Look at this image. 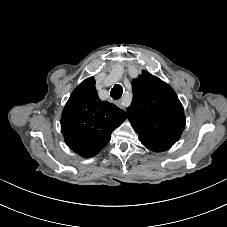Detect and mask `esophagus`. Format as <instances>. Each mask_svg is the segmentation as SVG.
<instances>
[{"instance_id": "esophagus-1", "label": "esophagus", "mask_w": 227, "mask_h": 227, "mask_svg": "<svg viewBox=\"0 0 227 227\" xmlns=\"http://www.w3.org/2000/svg\"><path fill=\"white\" fill-rule=\"evenodd\" d=\"M116 106H118L119 108L123 109V103L121 100H118L115 102Z\"/></svg>"}]
</instances>
